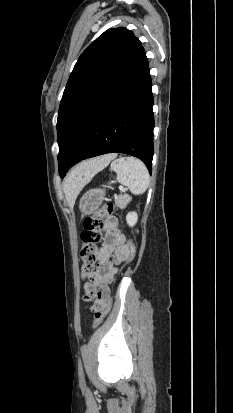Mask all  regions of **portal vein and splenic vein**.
I'll return each instance as SVG.
<instances>
[{
  "label": "portal vein and splenic vein",
  "mask_w": 233,
  "mask_h": 413,
  "mask_svg": "<svg viewBox=\"0 0 233 413\" xmlns=\"http://www.w3.org/2000/svg\"><path fill=\"white\" fill-rule=\"evenodd\" d=\"M125 190H126V189H124V188L122 189V191H125Z\"/></svg>",
  "instance_id": "18ae733b"
}]
</instances>
